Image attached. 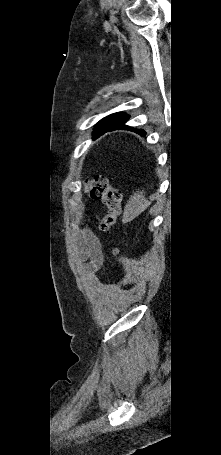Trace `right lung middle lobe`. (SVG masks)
<instances>
[{
    "label": "right lung middle lobe",
    "mask_w": 221,
    "mask_h": 455,
    "mask_svg": "<svg viewBox=\"0 0 221 455\" xmlns=\"http://www.w3.org/2000/svg\"><path fill=\"white\" fill-rule=\"evenodd\" d=\"M124 116L125 114L120 112L105 117L97 123L94 135L97 137L105 133L109 128L117 124Z\"/></svg>",
    "instance_id": "1"
}]
</instances>
